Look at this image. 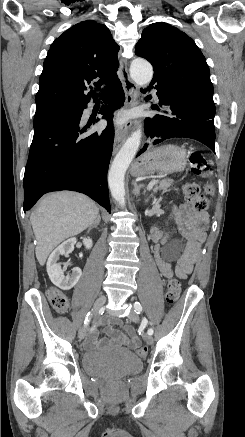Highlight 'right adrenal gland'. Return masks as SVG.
Here are the masks:
<instances>
[{
    "label": "right adrenal gland",
    "mask_w": 245,
    "mask_h": 437,
    "mask_svg": "<svg viewBox=\"0 0 245 437\" xmlns=\"http://www.w3.org/2000/svg\"><path fill=\"white\" fill-rule=\"evenodd\" d=\"M100 221H101V217H100V215H98V217H97L95 223H94L92 226H90V228L88 229V232H89L92 228H96V227L99 225Z\"/></svg>",
    "instance_id": "1"
}]
</instances>
